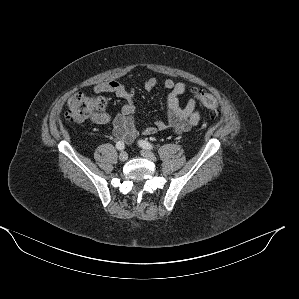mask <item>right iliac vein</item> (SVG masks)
I'll list each match as a JSON object with an SVG mask.
<instances>
[{"label": "right iliac vein", "instance_id": "1", "mask_svg": "<svg viewBox=\"0 0 299 299\" xmlns=\"http://www.w3.org/2000/svg\"><path fill=\"white\" fill-rule=\"evenodd\" d=\"M127 159H128V154H127L126 152H121V153L119 154V160H120L121 162H125Z\"/></svg>", "mask_w": 299, "mask_h": 299}]
</instances>
